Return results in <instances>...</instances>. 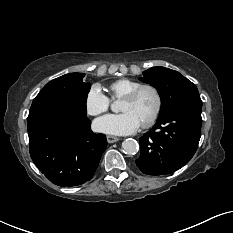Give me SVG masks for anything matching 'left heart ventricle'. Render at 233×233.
Listing matches in <instances>:
<instances>
[{
    "label": "left heart ventricle",
    "mask_w": 233,
    "mask_h": 233,
    "mask_svg": "<svg viewBox=\"0 0 233 233\" xmlns=\"http://www.w3.org/2000/svg\"><path fill=\"white\" fill-rule=\"evenodd\" d=\"M156 107V97L152 90H143L133 101L122 100L120 110L132 112L143 124Z\"/></svg>",
    "instance_id": "obj_1"
}]
</instances>
